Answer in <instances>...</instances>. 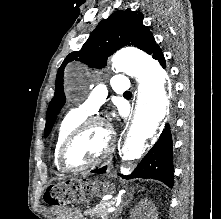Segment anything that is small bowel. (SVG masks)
Wrapping results in <instances>:
<instances>
[{"instance_id":"obj_1","label":"small bowel","mask_w":221,"mask_h":219,"mask_svg":"<svg viewBox=\"0 0 221 219\" xmlns=\"http://www.w3.org/2000/svg\"><path fill=\"white\" fill-rule=\"evenodd\" d=\"M59 219H87L78 208H58Z\"/></svg>"}]
</instances>
